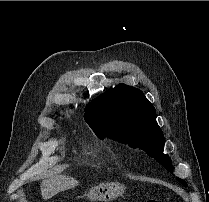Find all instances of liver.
<instances>
[{
  "mask_svg": "<svg viewBox=\"0 0 209 202\" xmlns=\"http://www.w3.org/2000/svg\"><path fill=\"white\" fill-rule=\"evenodd\" d=\"M78 185V181L66 175H56L45 179L40 184L41 194L44 200L52 198L54 195L72 189Z\"/></svg>",
  "mask_w": 209,
  "mask_h": 202,
  "instance_id": "6515ba94",
  "label": "liver"
}]
</instances>
